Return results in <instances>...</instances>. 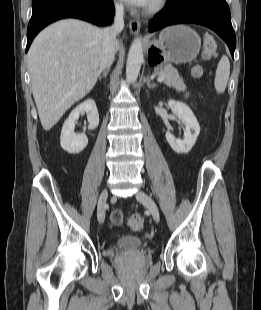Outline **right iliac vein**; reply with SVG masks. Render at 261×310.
I'll list each match as a JSON object with an SVG mask.
<instances>
[{
    "label": "right iliac vein",
    "instance_id": "obj_1",
    "mask_svg": "<svg viewBox=\"0 0 261 310\" xmlns=\"http://www.w3.org/2000/svg\"><path fill=\"white\" fill-rule=\"evenodd\" d=\"M107 197H108V191L107 189H104L99 196L98 205H97V216H98V221L100 224H102L105 220V209H106Z\"/></svg>",
    "mask_w": 261,
    "mask_h": 310
}]
</instances>
